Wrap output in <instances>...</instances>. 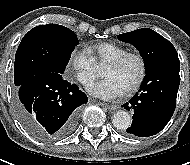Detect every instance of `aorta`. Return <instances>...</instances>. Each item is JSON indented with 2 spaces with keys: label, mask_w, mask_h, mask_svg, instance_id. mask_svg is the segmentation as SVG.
Wrapping results in <instances>:
<instances>
[{
  "label": "aorta",
  "mask_w": 190,
  "mask_h": 165,
  "mask_svg": "<svg viewBox=\"0 0 190 165\" xmlns=\"http://www.w3.org/2000/svg\"><path fill=\"white\" fill-rule=\"evenodd\" d=\"M112 123L115 128L119 130H126L131 126L132 119L128 112L118 111L114 114L112 118Z\"/></svg>",
  "instance_id": "aorta-1"
}]
</instances>
